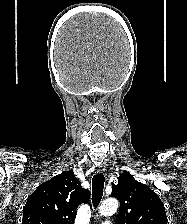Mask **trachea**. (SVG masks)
Masks as SVG:
<instances>
[{
    "label": "trachea",
    "instance_id": "trachea-1",
    "mask_svg": "<svg viewBox=\"0 0 187 224\" xmlns=\"http://www.w3.org/2000/svg\"><path fill=\"white\" fill-rule=\"evenodd\" d=\"M104 175L102 173L95 174L92 178V204L97 207L103 196Z\"/></svg>",
    "mask_w": 187,
    "mask_h": 224
}]
</instances>
